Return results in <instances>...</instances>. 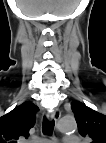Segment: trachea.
I'll return each instance as SVG.
<instances>
[{"label": "trachea", "instance_id": "obj_1", "mask_svg": "<svg viewBox=\"0 0 106 143\" xmlns=\"http://www.w3.org/2000/svg\"><path fill=\"white\" fill-rule=\"evenodd\" d=\"M54 129V121H49L47 118H43L42 130L45 135H51Z\"/></svg>", "mask_w": 106, "mask_h": 143}]
</instances>
